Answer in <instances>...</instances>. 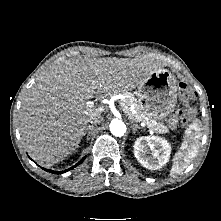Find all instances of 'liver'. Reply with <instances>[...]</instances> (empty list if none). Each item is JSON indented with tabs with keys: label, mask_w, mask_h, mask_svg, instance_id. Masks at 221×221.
I'll return each instance as SVG.
<instances>
[{
	"label": "liver",
	"mask_w": 221,
	"mask_h": 221,
	"mask_svg": "<svg viewBox=\"0 0 221 221\" xmlns=\"http://www.w3.org/2000/svg\"><path fill=\"white\" fill-rule=\"evenodd\" d=\"M161 65L145 58H71L50 67L25 94L19 111L28 154L49 168L79 146L92 117L87 102L135 89Z\"/></svg>",
	"instance_id": "6515ba94"
}]
</instances>
